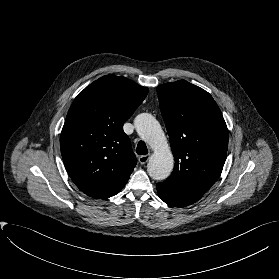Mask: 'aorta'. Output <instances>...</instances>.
Instances as JSON below:
<instances>
[{
    "mask_svg": "<svg viewBox=\"0 0 279 279\" xmlns=\"http://www.w3.org/2000/svg\"><path fill=\"white\" fill-rule=\"evenodd\" d=\"M134 124L139 136L154 151L147 165L149 176L155 180L166 179L173 170L174 157L159 122L151 114L142 113Z\"/></svg>",
    "mask_w": 279,
    "mask_h": 279,
    "instance_id": "aorta-1",
    "label": "aorta"
}]
</instances>
